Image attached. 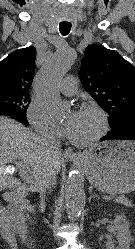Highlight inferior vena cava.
Wrapping results in <instances>:
<instances>
[{
  "label": "inferior vena cava",
  "mask_w": 135,
  "mask_h": 249,
  "mask_svg": "<svg viewBox=\"0 0 135 249\" xmlns=\"http://www.w3.org/2000/svg\"><path fill=\"white\" fill-rule=\"evenodd\" d=\"M42 140L50 147L55 155L60 153V140L54 136L52 132L42 135ZM56 184V172L54 168H50L39 180V190L41 193V205L45 206V194L49 193Z\"/></svg>",
  "instance_id": "1"
}]
</instances>
